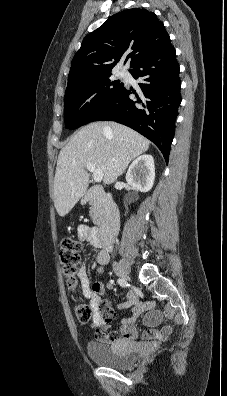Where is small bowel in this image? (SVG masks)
Listing matches in <instances>:
<instances>
[{
	"label": "small bowel",
	"instance_id": "c3829d8e",
	"mask_svg": "<svg viewBox=\"0 0 227 396\" xmlns=\"http://www.w3.org/2000/svg\"><path fill=\"white\" fill-rule=\"evenodd\" d=\"M96 230L86 225L78 228V238L87 242L92 247H100L95 240ZM109 261V253L102 249L96 256L92 264V270L101 272L103 267ZM82 293L84 297L90 299L91 305L95 310L92 326L96 328L95 337L101 342H125L134 341L139 346L152 349L159 343L165 341L172 333V326L166 325L161 329H156V326L162 319V313L155 309L153 302H141L134 293H129L119 308H131L132 314L130 317L122 320L118 330L108 332L110 322L115 318V312L106 300H102L101 296L104 294L105 288L102 283L96 282L91 284L87 269L80 268L77 273ZM142 314L144 316V324L150 329V332L141 336L136 329L135 320Z\"/></svg>",
	"mask_w": 227,
	"mask_h": 396
}]
</instances>
